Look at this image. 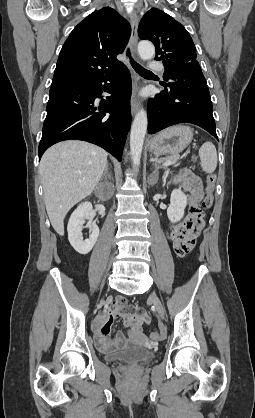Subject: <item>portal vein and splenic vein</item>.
Segmentation results:
<instances>
[{
    "instance_id": "1",
    "label": "portal vein and splenic vein",
    "mask_w": 255,
    "mask_h": 418,
    "mask_svg": "<svg viewBox=\"0 0 255 418\" xmlns=\"http://www.w3.org/2000/svg\"><path fill=\"white\" fill-rule=\"evenodd\" d=\"M174 162L172 160H167L163 163V166H170L172 165Z\"/></svg>"
}]
</instances>
